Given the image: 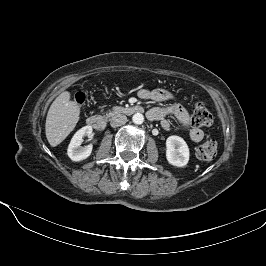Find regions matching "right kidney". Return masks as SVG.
<instances>
[{
  "label": "right kidney",
  "mask_w": 266,
  "mask_h": 266,
  "mask_svg": "<svg viewBox=\"0 0 266 266\" xmlns=\"http://www.w3.org/2000/svg\"><path fill=\"white\" fill-rule=\"evenodd\" d=\"M85 136L92 137V127L90 125L82 127L72 137L67 149V154L72 161H82L91 155L92 144L85 147L81 146Z\"/></svg>",
  "instance_id": "ca27d5eb"
}]
</instances>
